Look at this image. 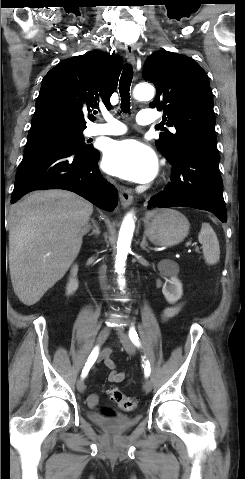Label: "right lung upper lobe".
<instances>
[{"instance_id":"1","label":"right lung upper lobe","mask_w":245,"mask_h":479,"mask_svg":"<svg viewBox=\"0 0 245 479\" xmlns=\"http://www.w3.org/2000/svg\"><path fill=\"white\" fill-rule=\"evenodd\" d=\"M122 59L114 54L91 51L66 59L43 79L31 129L65 126L85 129L84 115L103 103L111 108Z\"/></svg>"}]
</instances>
